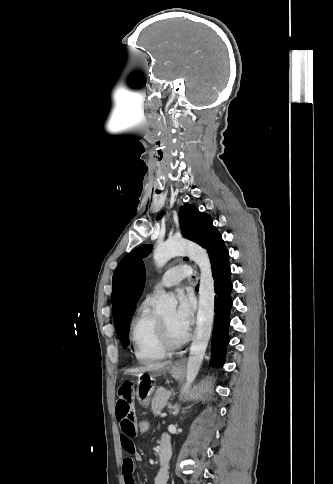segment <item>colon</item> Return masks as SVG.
<instances>
[{"label":"colon","mask_w":333,"mask_h":484,"mask_svg":"<svg viewBox=\"0 0 333 484\" xmlns=\"http://www.w3.org/2000/svg\"><path fill=\"white\" fill-rule=\"evenodd\" d=\"M151 429V422L148 419L141 418L137 422V432L139 435L147 434Z\"/></svg>","instance_id":"1"}]
</instances>
